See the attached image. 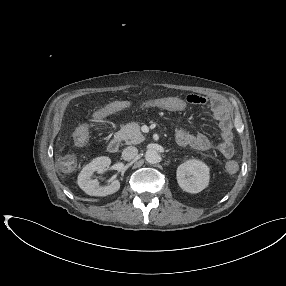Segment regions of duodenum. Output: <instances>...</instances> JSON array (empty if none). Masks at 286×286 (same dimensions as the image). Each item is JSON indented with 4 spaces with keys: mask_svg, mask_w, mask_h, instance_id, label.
<instances>
[{
    "mask_svg": "<svg viewBox=\"0 0 286 286\" xmlns=\"http://www.w3.org/2000/svg\"><path fill=\"white\" fill-rule=\"evenodd\" d=\"M120 138L117 136H113L107 143V148L109 152L116 153L120 147Z\"/></svg>",
    "mask_w": 286,
    "mask_h": 286,
    "instance_id": "1",
    "label": "duodenum"
}]
</instances>
